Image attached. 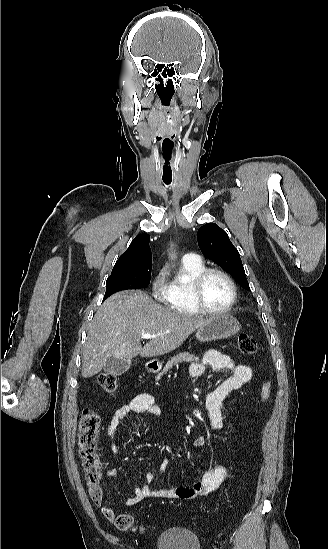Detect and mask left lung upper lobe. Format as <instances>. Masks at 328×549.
Instances as JSON below:
<instances>
[{
	"instance_id": "left-lung-upper-lobe-1",
	"label": "left lung upper lobe",
	"mask_w": 328,
	"mask_h": 549,
	"mask_svg": "<svg viewBox=\"0 0 328 549\" xmlns=\"http://www.w3.org/2000/svg\"><path fill=\"white\" fill-rule=\"evenodd\" d=\"M197 238L206 257L230 273L241 286L250 290L239 252L223 229L217 224L207 223L199 229Z\"/></svg>"
}]
</instances>
